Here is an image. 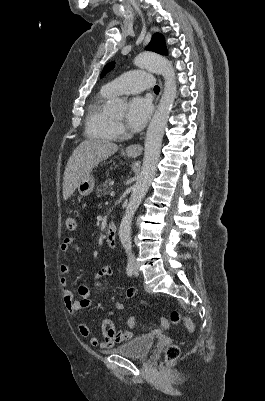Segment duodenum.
<instances>
[{"mask_svg": "<svg viewBox=\"0 0 265 401\" xmlns=\"http://www.w3.org/2000/svg\"><path fill=\"white\" fill-rule=\"evenodd\" d=\"M106 240L111 248H115L117 245V228L114 223H111L107 229Z\"/></svg>", "mask_w": 265, "mask_h": 401, "instance_id": "obj_1", "label": "duodenum"}]
</instances>
